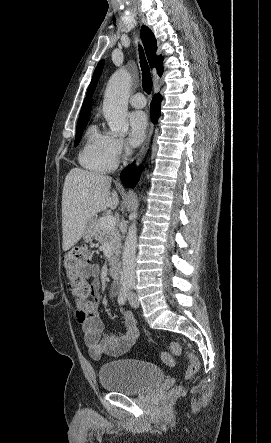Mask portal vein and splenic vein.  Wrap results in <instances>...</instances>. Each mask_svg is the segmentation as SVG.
I'll use <instances>...</instances> for the list:
<instances>
[{"label":"portal vein and splenic vein","instance_id":"obj_1","mask_svg":"<svg viewBox=\"0 0 271 443\" xmlns=\"http://www.w3.org/2000/svg\"><path fill=\"white\" fill-rule=\"evenodd\" d=\"M101 225L104 229H110V227L116 225V218H113V216H105V218H101Z\"/></svg>","mask_w":271,"mask_h":443}]
</instances>
